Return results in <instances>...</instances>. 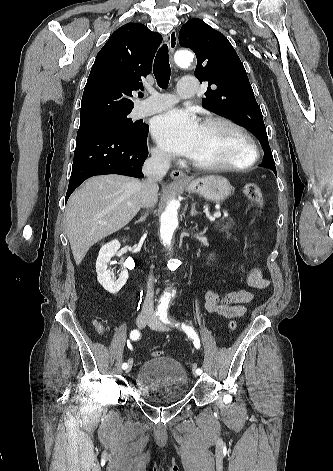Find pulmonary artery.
Listing matches in <instances>:
<instances>
[{
    "instance_id": "e3ab8cb5",
    "label": "pulmonary artery",
    "mask_w": 333,
    "mask_h": 471,
    "mask_svg": "<svg viewBox=\"0 0 333 471\" xmlns=\"http://www.w3.org/2000/svg\"><path fill=\"white\" fill-rule=\"evenodd\" d=\"M197 91V81L194 77H183L177 87V93L181 98H187L193 96ZM177 102V98L170 94H153L148 99L144 100L137 107L138 116H147L160 111H163L174 103Z\"/></svg>"
}]
</instances>
